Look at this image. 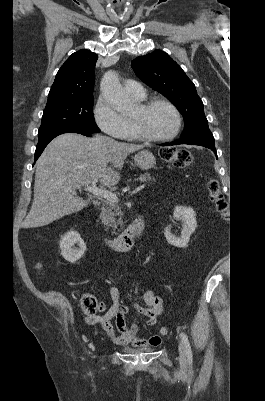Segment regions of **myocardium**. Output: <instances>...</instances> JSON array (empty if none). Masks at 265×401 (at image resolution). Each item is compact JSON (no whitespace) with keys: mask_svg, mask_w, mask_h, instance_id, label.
I'll return each mask as SVG.
<instances>
[{"mask_svg":"<svg viewBox=\"0 0 265 401\" xmlns=\"http://www.w3.org/2000/svg\"><path fill=\"white\" fill-rule=\"evenodd\" d=\"M156 105H164V106L168 107L169 109H171L173 111V113H174V115L176 117V121H177V126H176L175 131L173 133L169 134V135H166V136L152 137V136L147 135L144 132V130L142 129L141 124L139 123V121L134 120L133 123H134V127H135V130H136V133L138 134V136L141 139H143L145 141H149V142L167 141V140H170V139L176 137L180 133V131L182 129V124H183L182 115H181L180 111L178 110V108L174 104H172L171 102H169L167 100H164V99H151V100L142 102V103H140V108H141V111L143 113H145V112L149 111L152 107H154Z\"/></svg>","mask_w":265,"mask_h":401,"instance_id":"myocardium-1","label":"myocardium"}]
</instances>
